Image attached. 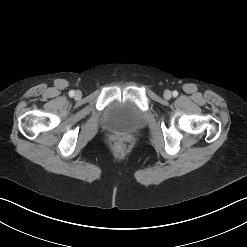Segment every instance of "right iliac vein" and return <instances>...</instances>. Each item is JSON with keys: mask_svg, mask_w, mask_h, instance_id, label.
Segmentation results:
<instances>
[{"mask_svg": "<svg viewBox=\"0 0 247 247\" xmlns=\"http://www.w3.org/2000/svg\"><path fill=\"white\" fill-rule=\"evenodd\" d=\"M75 98H77V99L81 98V92L80 91H77L75 93Z\"/></svg>", "mask_w": 247, "mask_h": 247, "instance_id": "right-iliac-vein-1", "label": "right iliac vein"}]
</instances>
